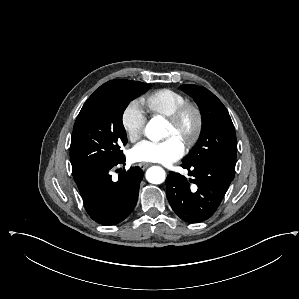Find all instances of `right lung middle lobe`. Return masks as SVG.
Masks as SVG:
<instances>
[{
	"label": "right lung middle lobe",
	"mask_w": 299,
	"mask_h": 299,
	"mask_svg": "<svg viewBox=\"0 0 299 299\" xmlns=\"http://www.w3.org/2000/svg\"><path fill=\"white\" fill-rule=\"evenodd\" d=\"M148 88V84L141 82L123 83L89 97L77 117L71 138L70 160L75 182L123 157L121 145L127 143V136L122 115L129 102Z\"/></svg>",
	"instance_id": "dd1d6c3e"
}]
</instances>
